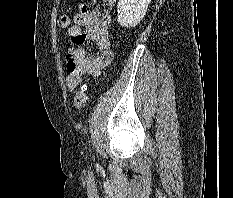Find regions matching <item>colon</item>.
<instances>
[{"label": "colon", "instance_id": "obj_1", "mask_svg": "<svg viewBox=\"0 0 233 198\" xmlns=\"http://www.w3.org/2000/svg\"><path fill=\"white\" fill-rule=\"evenodd\" d=\"M58 26L66 29L70 26V19L67 15H62L58 18ZM87 103V91L85 87H81L74 97V105L77 109H83Z\"/></svg>", "mask_w": 233, "mask_h": 198}]
</instances>
